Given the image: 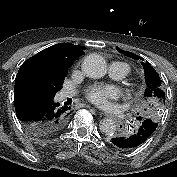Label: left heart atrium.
<instances>
[{
    "mask_svg": "<svg viewBox=\"0 0 177 177\" xmlns=\"http://www.w3.org/2000/svg\"><path fill=\"white\" fill-rule=\"evenodd\" d=\"M117 96V91L110 86L94 87L87 92L88 100L99 107H107L109 101Z\"/></svg>",
    "mask_w": 177,
    "mask_h": 177,
    "instance_id": "obj_1",
    "label": "left heart atrium"
}]
</instances>
